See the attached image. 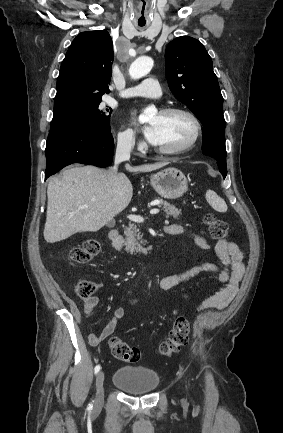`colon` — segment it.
Instances as JSON below:
<instances>
[{"label":"colon","instance_id":"colon-1","mask_svg":"<svg viewBox=\"0 0 283 433\" xmlns=\"http://www.w3.org/2000/svg\"><path fill=\"white\" fill-rule=\"evenodd\" d=\"M205 225L208 229L210 236L213 239H224L229 235V224L209 213L204 218ZM100 251V243L95 239H89L82 245L74 248L71 251L70 258L74 263L84 264L94 259ZM96 285L91 281H81L77 284V295L86 299L89 298L95 291ZM190 325L185 316H178L169 332L168 338L164 340L159 346V352L162 355L168 356L177 352L183 347L189 338ZM110 350L112 355L121 361L135 362L140 358V350L134 346L129 345L125 341L114 337L110 340Z\"/></svg>","mask_w":283,"mask_h":433}]
</instances>
